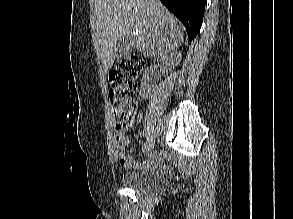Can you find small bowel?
Masks as SVG:
<instances>
[{
	"mask_svg": "<svg viewBox=\"0 0 293 219\" xmlns=\"http://www.w3.org/2000/svg\"><path fill=\"white\" fill-rule=\"evenodd\" d=\"M141 118L138 115V120ZM117 144H118V158L123 167L138 166L135 156L132 152H126V145L128 144V136L126 131L117 128Z\"/></svg>",
	"mask_w": 293,
	"mask_h": 219,
	"instance_id": "small-bowel-1",
	"label": "small bowel"
}]
</instances>
